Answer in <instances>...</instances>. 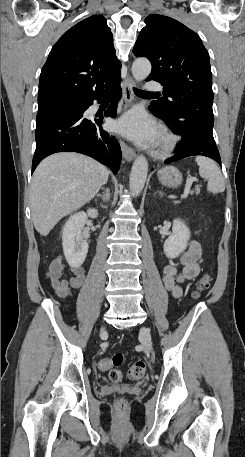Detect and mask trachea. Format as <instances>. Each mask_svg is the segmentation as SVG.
I'll return each instance as SVG.
<instances>
[{"mask_svg": "<svg viewBox=\"0 0 245 457\" xmlns=\"http://www.w3.org/2000/svg\"><path fill=\"white\" fill-rule=\"evenodd\" d=\"M134 92L139 96L143 95H158L157 92H146L145 90H139L138 88H133Z\"/></svg>", "mask_w": 245, "mask_h": 457, "instance_id": "1", "label": "trachea"}]
</instances>
